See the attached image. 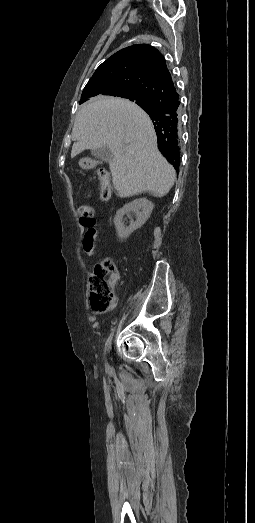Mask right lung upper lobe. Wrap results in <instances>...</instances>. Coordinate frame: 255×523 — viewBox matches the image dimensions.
<instances>
[{
	"mask_svg": "<svg viewBox=\"0 0 255 523\" xmlns=\"http://www.w3.org/2000/svg\"><path fill=\"white\" fill-rule=\"evenodd\" d=\"M140 90L153 98L150 108H143L153 121L158 148L176 170L180 165L179 109L159 118L152 111L165 103L179 102L171 74L163 55L154 47L138 44L124 48L95 71L86 84L80 104L96 96H115L125 90Z\"/></svg>",
	"mask_w": 255,
	"mask_h": 523,
	"instance_id": "obj_1",
	"label": "right lung upper lobe"
}]
</instances>
